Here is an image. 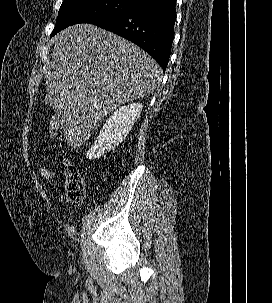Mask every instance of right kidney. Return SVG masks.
<instances>
[{
    "mask_svg": "<svg viewBox=\"0 0 272 303\" xmlns=\"http://www.w3.org/2000/svg\"><path fill=\"white\" fill-rule=\"evenodd\" d=\"M143 105L132 103L117 109L100 130L94 145L88 150V159H97L117 147L129 134L139 118Z\"/></svg>",
    "mask_w": 272,
    "mask_h": 303,
    "instance_id": "ca27d5eb",
    "label": "right kidney"
}]
</instances>
